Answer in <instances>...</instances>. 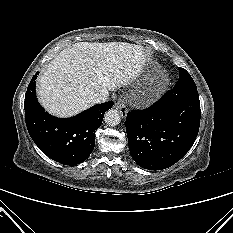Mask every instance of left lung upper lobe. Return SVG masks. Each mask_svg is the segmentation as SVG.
I'll list each match as a JSON object with an SVG mask.
<instances>
[{"label":"left lung upper lobe","instance_id":"5c2ea615","mask_svg":"<svg viewBox=\"0 0 233 233\" xmlns=\"http://www.w3.org/2000/svg\"><path fill=\"white\" fill-rule=\"evenodd\" d=\"M172 90L175 94H179L184 91H195L197 87L190 74L184 68L179 67V79Z\"/></svg>","mask_w":233,"mask_h":233}]
</instances>
